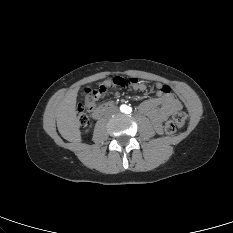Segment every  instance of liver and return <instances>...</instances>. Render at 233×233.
Segmentation results:
<instances>
[{
    "label": "liver",
    "instance_id": "6515ba94",
    "mask_svg": "<svg viewBox=\"0 0 233 233\" xmlns=\"http://www.w3.org/2000/svg\"><path fill=\"white\" fill-rule=\"evenodd\" d=\"M77 89L68 91L57 107V128L61 136L73 141L79 137L80 122L76 115Z\"/></svg>",
    "mask_w": 233,
    "mask_h": 233
}]
</instances>
